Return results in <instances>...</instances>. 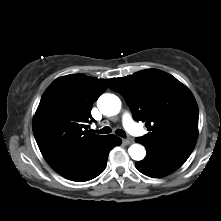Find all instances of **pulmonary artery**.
<instances>
[{
    "label": "pulmonary artery",
    "mask_w": 221,
    "mask_h": 221,
    "mask_svg": "<svg viewBox=\"0 0 221 221\" xmlns=\"http://www.w3.org/2000/svg\"><path fill=\"white\" fill-rule=\"evenodd\" d=\"M122 122L124 127L126 128V130L134 135V136H141L143 135V130L140 126H138L133 119L131 118V116L128 113H125L122 117Z\"/></svg>",
    "instance_id": "e3ab8cb5"
}]
</instances>
